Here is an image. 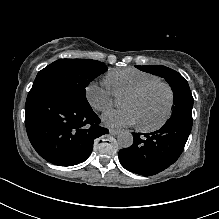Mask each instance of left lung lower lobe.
I'll return each mask as SVG.
<instances>
[{"label":"left lung lower lobe","mask_w":219,"mask_h":219,"mask_svg":"<svg viewBox=\"0 0 219 219\" xmlns=\"http://www.w3.org/2000/svg\"><path fill=\"white\" fill-rule=\"evenodd\" d=\"M191 128V121L168 120L155 132H133V144L119 151V160L125 169L133 173L155 175L179 158Z\"/></svg>","instance_id":"left-lung-lower-lobe-1"}]
</instances>
